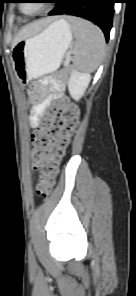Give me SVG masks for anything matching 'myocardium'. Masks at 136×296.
<instances>
[{"instance_id": "f54148a6", "label": "myocardium", "mask_w": 136, "mask_h": 296, "mask_svg": "<svg viewBox=\"0 0 136 296\" xmlns=\"http://www.w3.org/2000/svg\"><path fill=\"white\" fill-rule=\"evenodd\" d=\"M21 10L24 11V8H23V4L21 5ZM36 12V11H35ZM35 12H32V13H35ZM26 13V12H25Z\"/></svg>"}]
</instances>
